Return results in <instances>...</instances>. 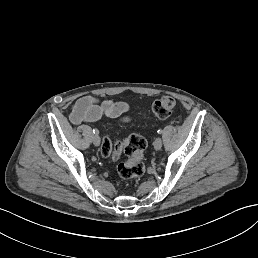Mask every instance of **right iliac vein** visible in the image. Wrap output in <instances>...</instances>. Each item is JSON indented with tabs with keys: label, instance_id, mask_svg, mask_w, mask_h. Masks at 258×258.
Returning a JSON list of instances; mask_svg holds the SVG:
<instances>
[{
	"label": "right iliac vein",
	"instance_id": "63e3f726",
	"mask_svg": "<svg viewBox=\"0 0 258 258\" xmlns=\"http://www.w3.org/2000/svg\"><path fill=\"white\" fill-rule=\"evenodd\" d=\"M92 141L95 143V145H100L101 138L99 137V135H94Z\"/></svg>",
	"mask_w": 258,
	"mask_h": 258
}]
</instances>
